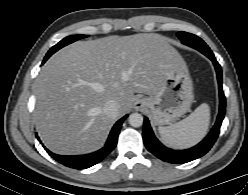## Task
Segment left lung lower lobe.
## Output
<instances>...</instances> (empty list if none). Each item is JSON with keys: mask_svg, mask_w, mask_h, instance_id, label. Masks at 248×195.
<instances>
[{"mask_svg": "<svg viewBox=\"0 0 248 195\" xmlns=\"http://www.w3.org/2000/svg\"><path fill=\"white\" fill-rule=\"evenodd\" d=\"M199 51L212 60L217 74L218 85H219V96H220V108L219 114L215 125L213 126L210 133L196 146L185 149V150H173L165 147L162 143L158 141L155 137L152 128L150 126L148 118H144V130H143V140L146 148L155 156L161 160L169 163H186L195 160L204 154H206L213 144L215 143L219 132L222 121L225 116V96L222 89V70L219 63L216 61L212 51H207L200 48Z\"/></svg>", "mask_w": 248, "mask_h": 195, "instance_id": "1", "label": "left lung lower lobe"}]
</instances>
